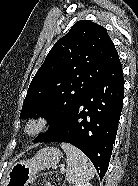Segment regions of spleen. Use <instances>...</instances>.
Here are the masks:
<instances>
[{
  "mask_svg": "<svg viewBox=\"0 0 138 186\" xmlns=\"http://www.w3.org/2000/svg\"><path fill=\"white\" fill-rule=\"evenodd\" d=\"M61 148L67 155L66 177L69 183L86 182L94 177L95 168L82 151L68 143H62Z\"/></svg>",
  "mask_w": 138,
  "mask_h": 186,
  "instance_id": "obj_1",
  "label": "spleen"
}]
</instances>
